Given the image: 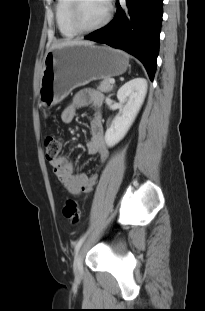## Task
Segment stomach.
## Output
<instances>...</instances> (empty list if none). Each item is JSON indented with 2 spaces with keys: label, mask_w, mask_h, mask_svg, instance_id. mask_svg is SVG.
Listing matches in <instances>:
<instances>
[{
  "label": "stomach",
  "mask_w": 205,
  "mask_h": 311,
  "mask_svg": "<svg viewBox=\"0 0 205 311\" xmlns=\"http://www.w3.org/2000/svg\"><path fill=\"white\" fill-rule=\"evenodd\" d=\"M128 66L129 58L124 52L107 46L75 44L51 49L44 58L39 102L52 107L74 88L121 75Z\"/></svg>",
  "instance_id": "0dacf381"
}]
</instances>
